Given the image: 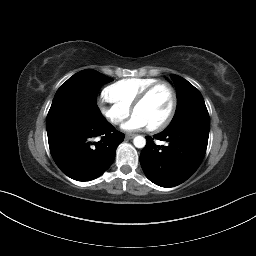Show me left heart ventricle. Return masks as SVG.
I'll list each match as a JSON object with an SVG mask.
<instances>
[{
	"mask_svg": "<svg viewBox=\"0 0 256 256\" xmlns=\"http://www.w3.org/2000/svg\"><path fill=\"white\" fill-rule=\"evenodd\" d=\"M171 103L172 96L169 89L160 86L150 94L143 104L134 110V113L140 115L148 126H153L166 117Z\"/></svg>",
	"mask_w": 256,
	"mask_h": 256,
	"instance_id": "obj_1",
	"label": "left heart ventricle"
}]
</instances>
